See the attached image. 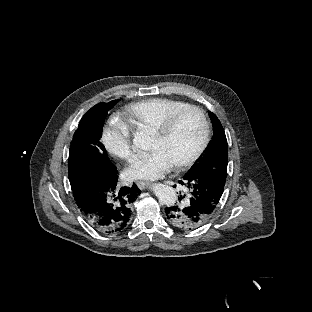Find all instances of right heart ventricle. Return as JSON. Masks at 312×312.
<instances>
[{
	"mask_svg": "<svg viewBox=\"0 0 312 312\" xmlns=\"http://www.w3.org/2000/svg\"><path fill=\"white\" fill-rule=\"evenodd\" d=\"M186 108V101L181 96H150L146 100L136 99L131 104V111L136 118L149 126H162L168 118L174 117Z\"/></svg>",
	"mask_w": 312,
	"mask_h": 312,
	"instance_id": "obj_1",
	"label": "right heart ventricle"
}]
</instances>
